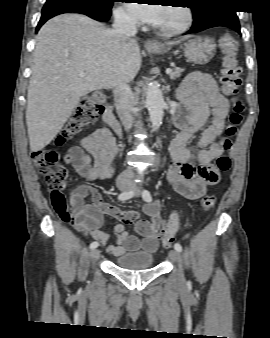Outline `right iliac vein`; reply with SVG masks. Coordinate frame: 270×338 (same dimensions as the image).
Listing matches in <instances>:
<instances>
[{
  "label": "right iliac vein",
  "mask_w": 270,
  "mask_h": 338,
  "mask_svg": "<svg viewBox=\"0 0 270 338\" xmlns=\"http://www.w3.org/2000/svg\"><path fill=\"white\" fill-rule=\"evenodd\" d=\"M118 188H119V190L125 192V191H128L131 187H130V185H128V184H119V185H118ZM90 257H91L92 263H95L96 260H97L98 257H99V251H98V249H93V250L91 251V253H90Z\"/></svg>",
  "instance_id": "right-iliac-vein-1"
}]
</instances>
